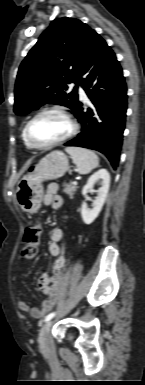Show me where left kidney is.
<instances>
[{"instance_id":"1","label":"left kidney","mask_w":145,"mask_h":385,"mask_svg":"<svg viewBox=\"0 0 145 385\" xmlns=\"http://www.w3.org/2000/svg\"><path fill=\"white\" fill-rule=\"evenodd\" d=\"M98 180H101V188L97 191V197L94 201L93 208L87 209V207L82 204L81 206V216L85 224H91L99 215L102 210V207L105 203L109 185H110V174L106 169H100L95 172L87 181V184L82 189V195L85 196L88 190H90L94 183Z\"/></svg>"}]
</instances>
